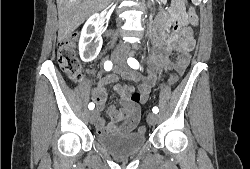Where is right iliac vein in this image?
<instances>
[{"mask_svg": "<svg viewBox=\"0 0 250 169\" xmlns=\"http://www.w3.org/2000/svg\"><path fill=\"white\" fill-rule=\"evenodd\" d=\"M112 60H113L114 62H117V63H119V61H120V59H119L117 56H115V55L112 56ZM88 117H89V121H90L91 123H94L95 120H96V118H97V112H96L95 110L90 111V112L88 113Z\"/></svg>", "mask_w": 250, "mask_h": 169, "instance_id": "right-iliac-vein-1", "label": "right iliac vein"}]
</instances>
